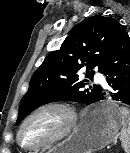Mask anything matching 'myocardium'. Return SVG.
I'll use <instances>...</instances> for the list:
<instances>
[{
    "label": "myocardium",
    "mask_w": 130,
    "mask_h": 153,
    "mask_svg": "<svg viewBox=\"0 0 130 153\" xmlns=\"http://www.w3.org/2000/svg\"><path fill=\"white\" fill-rule=\"evenodd\" d=\"M51 109L58 110L64 114L66 121H65V125L63 129L57 135H55L54 137H52L46 142H43L37 145H26L25 143H23L21 136H22V132L26 124L40 112L45 111V110H51ZM77 122H78V114L74 106H72L71 104L67 102H63V101L46 102V103L39 105L35 109H33L23 119L18 129V132H17V140H18L19 145L24 149H27V150L43 149L51 145H54L58 142H61L62 140L67 138L72 133L74 128L76 127Z\"/></svg>",
    "instance_id": "myocardium-1"
}]
</instances>
